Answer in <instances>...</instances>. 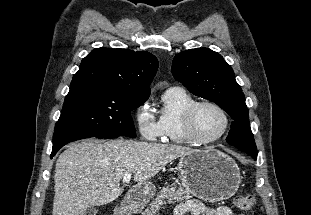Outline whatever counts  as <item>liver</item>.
Returning <instances> with one entry per match:
<instances>
[{
	"label": "liver",
	"mask_w": 311,
	"mask_h": 215,
	"mask_svg": "<svg viewBox=\"0 0 311 215\" xmlns=\"http://www.w3.org/2000/svg\"><path fill=\"white\" fill-rule=\"evenodd\" d=\"M191 151L175 144L125 139L70 144L56 162L52 215H83L91 207L114 201L123 192L120 180L133 173L136 185L128 191V201L135 188Z\"/></svg>",
	"instance_id": "6515ba94"
}]
</instances>
